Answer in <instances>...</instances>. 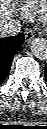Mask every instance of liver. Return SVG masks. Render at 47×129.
Listing matches in <instances>:
<instances>
[{
  "label": "liver",
  "mask_w": 47,
  "mask_h": 129,
  "mask_svg": "<svg viewBox=\"0 0 47 129\" xmlns=\"http://www.w3.org/2000/svg\"><path fill=\"white\" fill-rule=\"evenodd\" d=\"M13 0H0V25L14 17Z\"/></svg>",
  "instance_id": "6515ba94"
}]
</instances>
